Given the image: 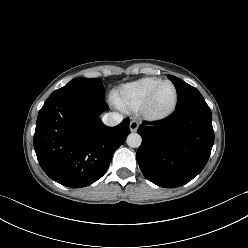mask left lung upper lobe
Listing matches in <instances>:
<instances>
[{"mask_svg":"<svg viewBox=\"0 0 248 248\" xmlns=\"http://www.w3.org/2000/svg\"><path fill=\"white\" fill-rule=\"evenodd\" d=\"M168 78L173 82L178 92V103L176 108L183 107L196 100L204 99L196 88L187 84L183 80L172 75H168Z\"/></svg>","mask_w":248,"mask_h":248,"instance_id":"1","label":"left lung upper lobe"}]
</instances>
